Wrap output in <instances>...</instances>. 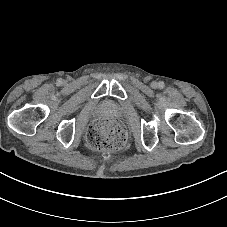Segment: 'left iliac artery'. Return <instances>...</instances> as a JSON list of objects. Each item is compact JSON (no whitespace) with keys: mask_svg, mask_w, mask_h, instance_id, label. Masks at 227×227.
I'll list each match as a JSON object with an SVG mask.
<instances>
[{"mask_svg":"<svg viewBox=\"0 0 227 227\" xmlns=\"http://www.w3.org/2000/svg\"><path fill=\"white\" fill-rule=\"evenodd\" d=\"M164 86H165V84H164L163 81L158 82V87H159L160 89H163Z\"/></svg>","mask_w":227,"mask_h":227,"instance_id":"left-iliac-artery-1","label":"left iliac artery"}]
</instances>
